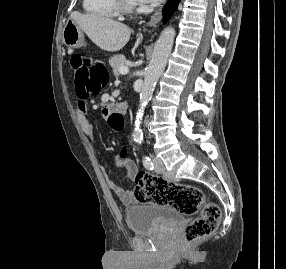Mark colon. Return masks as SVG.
<instances>
[{
	"label": "colon",
	"instance_id": "1",
	"mask_svg": "<svg viewBox=\"0 0 286 269\" xmlns=\"http://www.w3.org/2000/svg\"><path fill=\"white\" fill-rule=\"evenodd\" d=\"M71 66L76 88L83 97L95 94L97 87L105 82L103 66L87 57L80 55L72 57ZM110 121L112 126H119L120 131L124 130L125 116H111ZM118 154L128 155L129 151L119 150ZM135 182L134 194L139 202L167 205L183 215H193L200 211V216L184 231L185 245L206 238L216 230L221 218L220 208L208 201L200 188L147 173H138Z\"/></svg>",
	"mask_w": 286,
	"mask_h": 269
}]
</instances>
